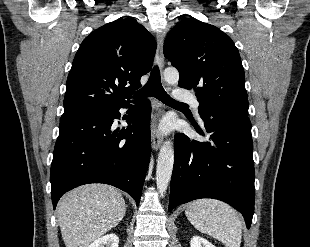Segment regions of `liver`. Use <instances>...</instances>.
<instances>
[{"mask_svg": "<svg viewBox=\"0 0 310 247\" xmlns=\"http://www.w3.org/2000/svg\"><path fill=\"white\" fill-rule=\"evenodd\" d=\"M126 212L122 194L106 184H87L68 192L57 213L66 247H88L117 226Z\"/></svg>", "mask_w": 310, "mask_h": 247, "instance_id": "6515ba94", "label": "liver"}]
</instances>
